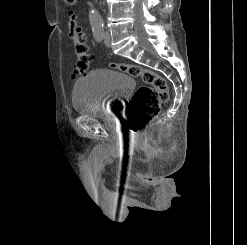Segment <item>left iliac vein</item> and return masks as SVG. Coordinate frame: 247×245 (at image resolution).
Here are the masks:
<instances>
[{
  "label": "left iliac vein",
  "mask_w": 247,
  "mask_h": 245,
  "mask_svg": "<svg viewBox=\"0 0 247 245\" xmlns=\"http://www.w3.org/2000/svg\"><path fill=\"white\" fill-rule=\"evenodd\" d=\"M104 44L107 46V47H110L111 45V36H110V33L108 30H106L104 32Z\"/></svg>",
  "instance_id": "1"
}]
</instances>
